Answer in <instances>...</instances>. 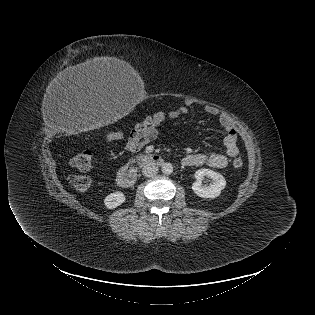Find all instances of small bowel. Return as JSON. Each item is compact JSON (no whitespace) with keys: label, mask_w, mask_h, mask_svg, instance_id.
Instances as JSON below:
<instances>
[{"label":"small bowel","mask_w":315,"mask_h":315,"mask_svg":"<svg viewBox=\"0 0 315 315\" xmlns=\"http://www.w3.org/2000/svg\"><path fill=\"white\" fill-rule=\"evenodd\" d=\"M192 105L190 100H187L183 105L169 112H156L147 116L144 120L137 123L130 132L125 150L130 153H136L143 149L146 145L156 140L159 134L160 127L168 119H176L189 111ZM205 112L211 116L218 118L219 123L225 129L224 145L226 148L225 154L221 153H198L189 154L182 159L185 166L207 165L212 168H225L228 165L229 158H234L239 154L237 146V131L230 117L214 106H206Z\"/></svg>","instance_id":"c3829d8e"}]
</instances>
